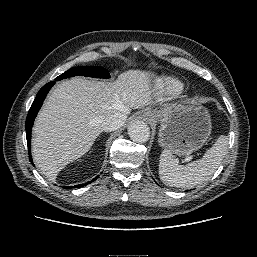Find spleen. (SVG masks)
Here are the masks:
<instances>
[{"label":"spleen","mask_w":257,"mask_h":257,"mask_svg":"<svg viewBox=\"0 0 257 257\" xmlns=\"http://www.w3.org/2000/svg\"><path fill=\"white\" fill-rule=\"evenodd\" d=\"M228 146V137L221 135L206 151L202 159L187 165H179L168 149L162 151L159 160L161 181L172 187L191 188L208 180L221 164Z\"/></svg>","instance_id":"spleen-1"}]
</instances>
